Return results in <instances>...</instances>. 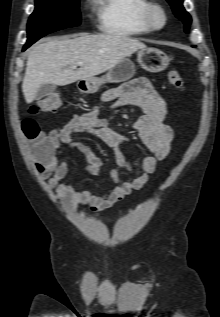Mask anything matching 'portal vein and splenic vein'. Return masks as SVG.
I'll return each instance as SVG.
<instances>
[{
	"instance_id": "1",
	"label": "portal vein and splenic vein",
	"mask_w": 220,
	"mask_h": 317,
	"mask_svg": "<svg viewBox=\"0 0 220 317\" xmlns=\"http://www.w3.org/2000/svg\"><path fill=\"white\" fill-rule=\"evenodd\" d=\"M78 66H83V63H82V62H79V63H77L74 67L76 68V67H78Z\"/></svg>"
}]
</instances>
